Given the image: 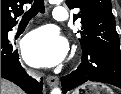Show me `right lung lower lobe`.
Here are the masks:
<instances>
[{
    "label": "right lung lower lobe",
    "mask_w": 121,
    "mask_h": 94,
    "mask_svg": "<svg viewBox=\"0 0 121 94\" xmlns=\"http://www.w3.org/2000/svg\"><path fill=\"white\" fill-rule=\"evenodd\" d=\"M13 27L4 29L1 36V77L14 82L28 94H42V82L29 77L18 61L17 49L9 43L8 32Z\"/></svg>",
    "instance_id": "1"
}]
</instances>
